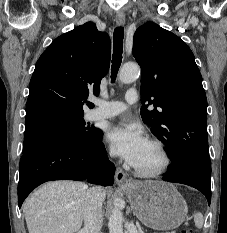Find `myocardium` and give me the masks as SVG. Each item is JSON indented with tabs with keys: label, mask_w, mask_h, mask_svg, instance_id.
<instances>
[{
	"label": "myocardium",
	"mask_w": 227,
	"mask_h": 233,
	"mask_svg": "<svg viewBox=\"0 0 227 233\" xmlns=\"http://www.w3.org/2000/svg\"><path fill=\"white\" fill-rule=\"evenodd\" d=\"M147 142L154 145L161 153L162 160H163L161 166L155 170H143L131 164V168L134 171V173L140 177H144V178L159 177L165 174L171 166L172 159H171L170 153L167 147L165 146V144L159 139L151 138V139H148Z\"/></svg>",
	"instance_id": "obj_1"
}]
</instances>
